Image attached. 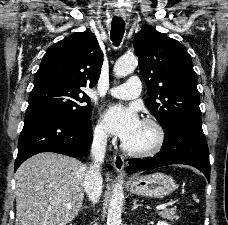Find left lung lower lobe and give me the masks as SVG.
I'll list each match as a JSON object with an SVG mask.
<instances>
[{
	"label": "left lung lower lobe",
	"instance_id": "1",
	"mask_svg": "<svg viewBox=\"0 0 228 225\" xmlns=\"http://www.w3.org/2000/svg\"><path fill=\"white\" fill-rule=\"evenodd\" d=\"M162 148L146 159H131L127 171L134 173L170 164L191 165L210 181L209 149L201 125L179 122L165 129Z\"/></svg>",
	"mask_w": 228,
	"mask_h": 225
}]
</instances>
